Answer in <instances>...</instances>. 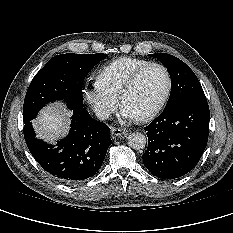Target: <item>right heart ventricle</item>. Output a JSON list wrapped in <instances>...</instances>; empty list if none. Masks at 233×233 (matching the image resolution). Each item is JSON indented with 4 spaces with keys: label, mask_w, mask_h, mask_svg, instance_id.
Returning a JSON list of instances; mask_svg holds the SVG:
<instances>
[{
    "label": "right heart ventricle",
    "mask_w": 233,
    "mask_h": 233,
    "mask_svg": "<svg viewBox=\"0 0 233 233\" xmlns=\"http://www.w3.org/2000/svg\"><path fill=\"white\" fill-rule=\"evenodd\" d=\"M150 63L145 59L120 57L104 65L97 79L117 98L130 76L140 67Z\"/></svg>",
    "instance_id": "obj_1"
}]
</instances>
